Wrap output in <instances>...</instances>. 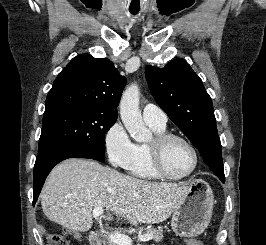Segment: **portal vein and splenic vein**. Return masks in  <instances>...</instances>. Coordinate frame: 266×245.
<instances>
[{
	"instance_id": "obj_1",
	"label": "portal vein and splenic vein",
	"mask_w": 266,
	"mask_h": 245,
	"mask_svg": "<svg viewBox=\"0 0 266 245\" xmlns=\"http://www.w3.org/2000/svg\"><path fill=\"white\" fill-rule=\"evenodd\" d=\"M104 213V207H95L92 211V217L94 219H98L100 215H103ZM111 243H115V245H132L133 241L130 239V237H127V235H119V233H111V235H108ZM137 241H151L153 239L152 235H138L136 237Z\"/></svg>"
}]
</instances>
